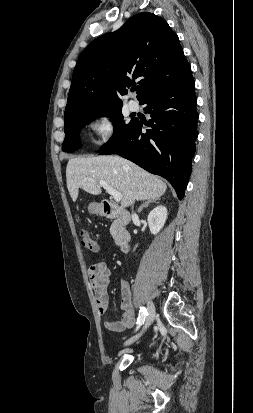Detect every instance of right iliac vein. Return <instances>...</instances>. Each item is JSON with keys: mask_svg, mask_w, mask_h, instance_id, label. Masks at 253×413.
<instances>
[{"mask_svg": "<svg viewBox=\"0 0 253 413\" xmlns=\"http://www.w3.org/2000/svg\"><path fill=\"white\" fill-rule=\"evenodd\" d=\"M147 310H148V315H147L145 326L143 327V330L138 335H136V336L130 338L129 340H127L125 342V345H130L134 341H136L142 335V333L151 325L152 321L154 320L155 312H156L154 303L152 301H148Z\"/></svg>", "mask_w": 253, "mask_h": 413, "instance_id": "right-iliac-vein-1", "label": "right iliac vein"}]
</instances>
